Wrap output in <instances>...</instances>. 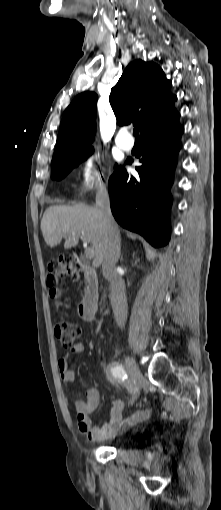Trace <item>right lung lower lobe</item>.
<instances>
[{
  "label": "right lung lower lobe",
  "instance_id": "right-lung-lower-lobe-1",
  "mask_svg": "<svg viewBox=\"0 0 221 510\" xmlns=\"http://www.w3.org/2000/svg\"><path fill=\"white\" fill-rule=\"evenodd\" d=\"M178 119L141 135L143 165L135 168L139 178L120 166L109 179L111 210L116 221L142 235L154 247L164 246L170 239L169 190L184 132Z\"/></svg>",
  "mask_w": 221,
  "mask_h": 510
}]
</instances>
